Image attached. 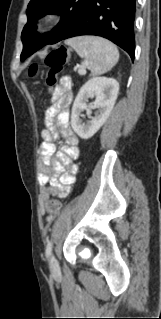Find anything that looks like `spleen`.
I'll return each mask as SVG.
<instances>
[{
	"label": "spleen",
	"mask_w": 161,
	"mask_h": 319,
	"mask_svg": "<svg viewBox=\"0 0 161 319\" xmlns=\"http://www.w3.org/2000/svg\"><path fill=\"white\" fill-rule=\"evenodd\" d=\"M68 44L85 59L91 75L106 73L116 65L119 52L115 45L101 37L82 36L70 39Z\"/></svg>",
	"instance_id": "3e777b00"
}]
</instances>
